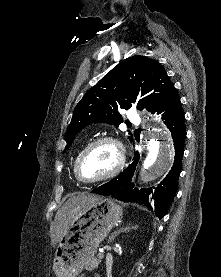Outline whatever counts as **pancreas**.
<instances>
[{
	"label": "pancreas",
	"instance_id": "pancreas-1",
	"mask_svg": "<svg viewBox=\"0 0 221 277\" xmlns=\"http://www.w3.org/2000/svg\"><path fill=\"white\" fill-rule=\"evenodd\" d=\"M100 262H101V258L99 256L98 258H93L91 262L86 266V270L92 271L94 269H97Z\"/></svg>",
	"mask_w": 221,
	"mask_h": 277
}]
</instances>
